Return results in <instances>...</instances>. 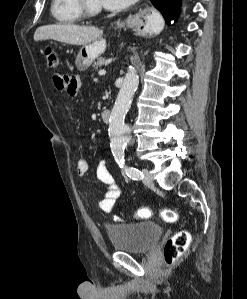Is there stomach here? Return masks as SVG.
<instances>
[{
  "label": "stomach",
  "mask_w": 247,
  "mask_h": 299,
  "mask_svg": "<svg viewBox=\"0 0 247 299\" xmlns=\"http://www.w3.org/2000/svg\"><path fill=\"white\" fill-rule=\"evenodd\" d=\"M106 41L98 39L89 44L83 45L75 60V65L78 71L87 70L91 64L105 51Z\"/></svg>",
  "instance_id": "stomach-1"
}]
</instances>
